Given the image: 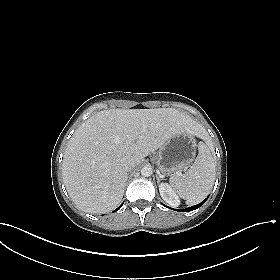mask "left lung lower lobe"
Segmentation results:
<instances>
[{"label": "left lung lower lobe", "instance_id": "1", "mask_svg": "<svg viewBox=\"0 0 280 280\" xmlns=\"http://www.w3.org/2000/svg\"><path fill=\"white\" fill-rule=\"evenodd\" d=\"M206 200H207V198L204 201H202L201 203H199L195 206H192V207H189V208H186V209H182V210H176V211L188 212V211L195 210V209L199 208L200 206H202L205 203Z\"/></svg>", "mask_w": 280, "mask_h": 280}]
</instances>
